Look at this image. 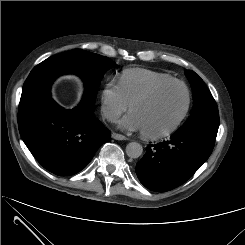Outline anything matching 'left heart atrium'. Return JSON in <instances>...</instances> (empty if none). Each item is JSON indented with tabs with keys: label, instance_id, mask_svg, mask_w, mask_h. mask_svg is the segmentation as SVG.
<instances>
[{
	"label": "left heart atrium",
	"instance_id": "obj_1",
	"mask_svg": "<svg viewBox=\"0 0 245 245\" xmlns=\"http://www.w3.org/2000/svg\"><path fill=\"white\" fill-rule=\"evenodd\" d=\"M119 126L123 129L130 131H140L142 130L141 124L135 114L130 113L124 117L120 122Z\"/></svg>",
	"mask_w": 245,
	"mask_h": 245
}]
</instances>
